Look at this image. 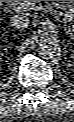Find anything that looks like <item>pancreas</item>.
I'll use <instances>...</instances> for the list:
<instances>
[{
	"instance_id": "pancreas-1",
	"label": "pancreas",
	"mask_w": 74,
	"mask_h": 122,
	"mask_svg": "<svg viewBox=\"0 0 74 122\" xmlns=\"http://www.w3.org/2000/svg\"><path fill=\"white\" fill-rule=\"evenodd\" d=\"M39 1H9L10 6H12L14 9L15 7H20V9L15 10H30L35 4ZM61 9L65 11V17L67 20H70V18L73 16V5L71 2L67 1H61L60 2Z\"/></svg>"
}]
</instances>
